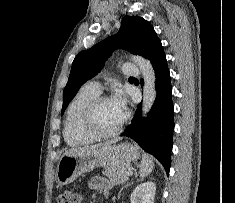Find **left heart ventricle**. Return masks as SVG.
Masks as SVG:
<instances>
[{"mask_svg":"<svg viewBox=\"0 0 235 203\" xmlns=\"http://www.w3.org/2000/svg\"><path fill=\"white\" fill-rule=\"evenodd\" d=\"M124 116L125 112L110 99L99 105L96 113V123L101 130L111 131L122 122Z\"/></svg>","mask_w":235,"mask_h":203,"instance_id":"obj_1","label":"left heart ventricle"}]
</instances>
